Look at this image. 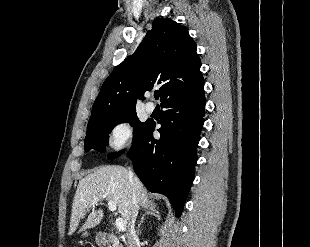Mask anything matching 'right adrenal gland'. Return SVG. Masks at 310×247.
<instances>
[{
    "mask_svg": "<svg viewBox=\"0 0 310 247\" xmlns=\"http://www.w3.org/2000/svg\"><path fill=\"white\" fill-rule=\"evenodd\" d=\"M146 215L154 216L155 218L160 220L159 211L156 209V206L155 205H151L150 207H147L146 208V212L142 215V217H141V219L139 221L138 230H137L138 233L140 232V227H141L142 223L144 222Z\"/></svg>",
    "mask_w": 310,
    "mask_h": 247,
    "instance_id": "1",
    "label": "right adrenal gland"
}]
</instances>
